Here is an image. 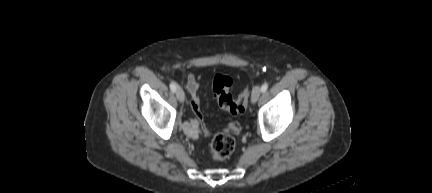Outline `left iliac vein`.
I'll list each match as a JSON object with an SVG mask.
<instances>
[{
  "label": "left iliac vein",
  "instance_id": "left-iliac-vein-1",
  "mask_svg": "<svg viewBox=\"0 0 432 193\" xmlns=\"http://www.w3.org/2000/svg\"><path fill=\"white\" fill-rule=\"evenodd\" d=\"M260 95H261V89L260 86L257 85L253 88L252 95H251V101L253 104H255L258 101Z\"/></svg>",
  "mask_w": 432,
  "mask_h": 193
}]
</instances>
